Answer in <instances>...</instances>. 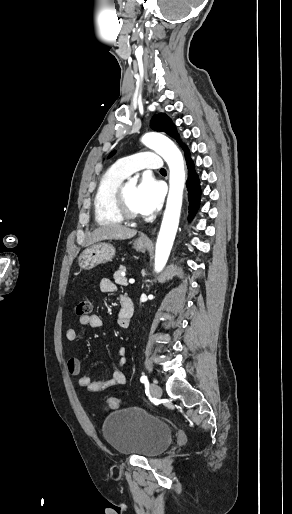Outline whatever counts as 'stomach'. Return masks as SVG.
<instances>
[{"instance_id": "1", "label": "stomach", "mask_w": 292, "mask_h": 514, "mask_svg": "<svg viewBox=\"0 0 292 514\" xmlns=\"http://www.w3.org/2000/svg\"><path fill=\"white\" fill-rule=\"evenodd\" d=\"M147 246V242H143L141 238L135 240L133 244V248L136 252H145ZM115 252L116 250L112 244L101 242V244H95V246H91L88 250H84L78 258V264L83 270H92V268H95L98 264L112 262Z\"/></svg>"}]
</instances>
